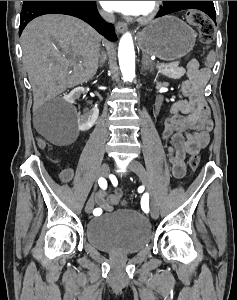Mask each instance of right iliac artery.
<instances>
[{"instance_id": "obj_1", "label": "right iliac artery", "mask_w": 237, "mask_h": 300, "mask_svg": "<svg viewBox=\"0 0 237 300\" xmlns=\"http://www.w3.org/2000/svg\"><path fill=\"white\" fill-rule=\"evenodd\" d=\"M98 184H99V186L103 189V190H105L106 188H107V181L104 179V178H99V180H98ZM101 209L100 208H96V209H94V211L93 212H97V211H100Z\"/></svg>"}]
</instances>
